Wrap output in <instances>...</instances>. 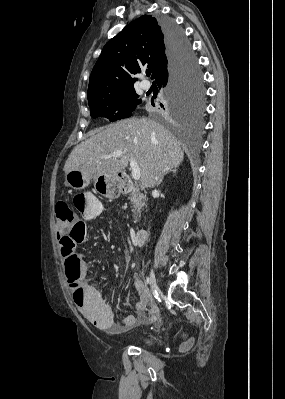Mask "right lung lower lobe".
Masks as SVG:
<instances>
[{
	"label": "right lung lower lobe",
	"instance_id": "98d812e1",
	"mask_svg": "<svg viewBox=\"0 0 285 399\" xmlns=\"http://www.w3.org/2000/svg\"><path fill=\"white\" fill-rule=\"evenodd\" d=\"M167 49V65L156 78L159 88L171 89L186 73L193 59L190 43L184 32L170 19L160 20ZM163 106V105H161Z\"/></svg>",
	"mask_w": 285,
	"mask_h": 399
}]
</instances>
